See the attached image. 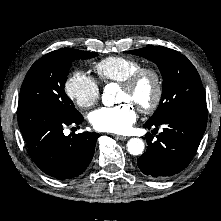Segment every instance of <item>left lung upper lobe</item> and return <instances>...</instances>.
Wrapping results in <instances>:
<instances>
[{
	"label": "left lung upper lobe",
	"instance_id": "left-lung-upper-lobe-1",
	"mask_svg": "<svg viewBox=\"0 0 221 221\" xmlns=\"http://www.w3.org/2000/svg\"><path fill=\"white\" fill-rule=\"evenodd\" d=\"M128 53L152 60L159 67L163 77L160 104L146 123H157L187 107L206 105L200 76L185 56L162 46L144 47Z\"/></svg>",
	"mask_w": 221,
	"mask_h": 221
}]
</instances>
